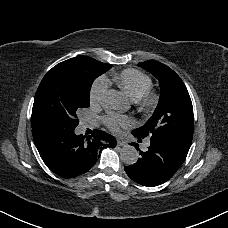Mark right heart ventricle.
Masks as SVG:
<instances>
[{
    "label": "right heart ventricle",
    "mask_w": 228,
    "mask_h": 228,
    "mask_svg": "<svg viewBox=\"0 0 228 228\" xmlns=\"http://www.w3.org/2000/svg\"><path fill=\"white\" fill-rule=\"evenodd\" d=\"M105 86L116 85L127 97L137 98L148 92L152 86L150 77L141 71L127 69L120 73L110 72L101 76Z\"/></svg>",
    "instance_id": "e07e8e85"
}]
</instances>
